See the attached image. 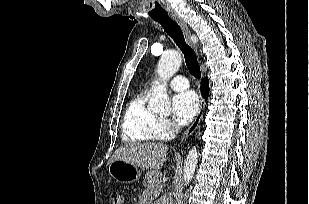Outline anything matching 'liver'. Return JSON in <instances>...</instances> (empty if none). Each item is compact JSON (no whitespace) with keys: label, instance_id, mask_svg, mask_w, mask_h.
Segmentation results:
<instances>
[{"label":"liver","instance_id":"1","mask_svg":"<svg viewBox=\"0 0 309 204\" xmlns=\"http://www.w3.org/2000/svg\"><path fill=\"white\" fill-rule=\"evenodd\" d=\"M167 150L168 147L161 143H132L119 148L111 161L122 160L137 167L160 169L166 162Z\"/></svg>","mask_w":309,"mask_h":204}]
</instances>
